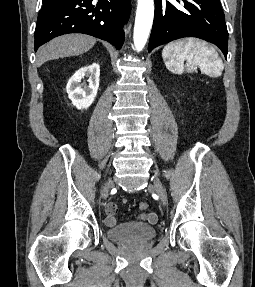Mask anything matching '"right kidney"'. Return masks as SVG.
<instances>
[{
  "label": "right kidney",
  "instance_id": "1",
  "mask_svg": "<svg viewBox=\"0 0 255 287\" xmlns=\"http://www.w3.org/2000/svg\"><path fill=\"white\" fill-rule=\"evenodd\" d=\"M100 66L99 64H91V66H83L71 76L67 86V94L78 110L89 108L97 96L99 86ZM83 78H88L87 84H81Z\"/></svg>",
  "mask_w": 255,
  "mask_h": 287
}]
</instances>
